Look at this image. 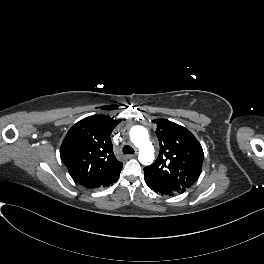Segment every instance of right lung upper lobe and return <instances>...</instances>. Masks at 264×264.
<instances>
[{
  "instance_id": "obj_1",
  "label": "right lung upper lobe",
  "mask_w": 264,
  "mask_h": 264,
  "mask_svg": "<svg viewBox=\"0 0 264 264\" xmlns=\"http://www.w3.org/2000/svg\"><path fill=\"white\" fill-rule=\"evenodd\" d=\"M121 120L90 116L68 131L60 148L61 159L75 182L96 188L119 173L123 163L113 153L110 135Z\"/></svg>"
}]
</instances>
